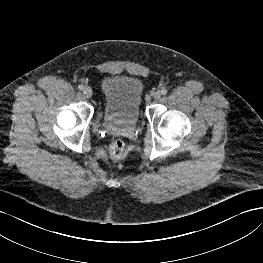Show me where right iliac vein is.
Segmentation results:
<instances>
[{
	"mask_svg": "<svg viewBox=\"0 0 263 263\" xmlns=\"http://www.w3.org/2000/svg\"><path fill=\"white\" fill-rule=\"evenodd\" d=\"M83 94L87 97V98H91L93 95V91L90 87H85L83 90Z\"/></svg>",
	"mask_w": 263,
	"mask_h": 263,
	"instance_id": "1",
	"label": "right iliac vein"
}]
</instances>
